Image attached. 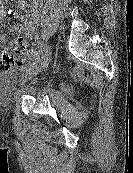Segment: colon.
<instances>
[{"label":"colon","mask_w":133,"mask_h":173,"mask_svg":"<svg viewBox=\"0 0 133 173\" xmlns=\"http://www.w3.org/2000/svg\"><path fill=\"white\" fill-rule=\"evenodd\" d=\"M29 63V56L21 38H16L10 49L5 50L0 56V69L8 70L13 66H25Z\"/></svg>","instance_id":"obj_1"}]
</instances>
